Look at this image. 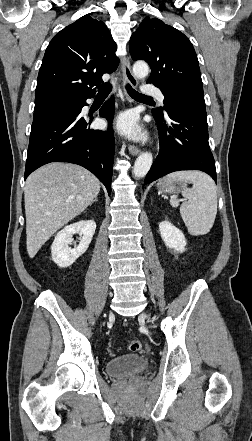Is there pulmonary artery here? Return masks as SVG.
I'll use <instances>...</instances> for the list:
<instances>
[{
  "label": "pulmonary artery",
  "mask_w": 252,
  "mask_h": 441,
  "mask_svg": "<svg viewBox=\"0 0 252 441\" xmlns=\"http://www.w3.org/2000/svg\"><path fill=\"white\" fill-rule=\"evenodd\" d=\"M142 94L145 96H155L158 98V100L160 101L161 104H163L164 102V96L162 94V92L156 88V87H152V86H143L142 89Z\"/></svg>",
  "instance_id": "obj_1"
}]
</instances>
